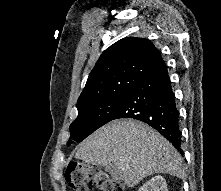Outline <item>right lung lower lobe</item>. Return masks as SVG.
Instances as JSON below:
<instances>
[{"label": "right lung lower lobe", "instance_id": "right-lung-lower-lobe-1", "mask_svg": "<svg viewBox=\"0 0 221 191\" xmlns=\"http://www.w3.org/2000/svg\"><path fill=\"white\" fill-rule=\"evenodd\" d=\"M119 118L147 123L182 154L179 111L165 64L131 89L113 120Z\"/></svg>", "mask_w": 221, "mask_h": 191}]
</instances>
